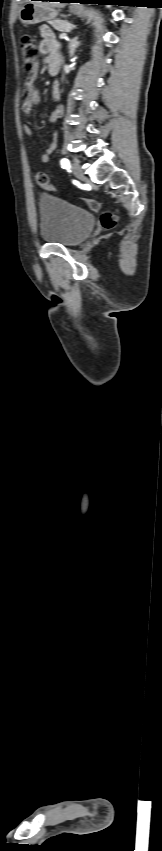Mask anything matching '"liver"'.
Returning a JSON list of instances; mask_svg holds the SVG:
<instances>
[{
    "instance_id": "obj_1",
    "label": "liver",
    "mask_w": 162,
    "mask_h": 851,
    "mask_svg": "<svg viewBox=\"0 0 162 851\" xmlns=\"http://www.w3.org/2000/svg\"><path fill=\"white\" fill-rule=\"evenodd\" d=\"M28 1L29 0H26V2H28ZM35 3H38V4H40L44 7H50V8H63V7L66 6V3H63V2H48L47 1V2H35Z\"/></svg>"
}]
</instances>
